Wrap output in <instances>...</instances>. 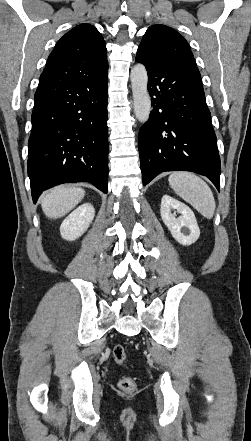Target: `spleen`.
<instances>
[{
  "mask_svg": "<svg viewBox=\"0 0 251 441\" xmlns=\"http://www.w3.org/2000/svg\"><path fill=\"white\" fill-rule=\"evenodd\" d=\"M171 188L190 203L201 215L211 219L216 203L210 187L200 177L189 172H174L168 178Z\"/></svg>",
  "mask_w": 251,
  "mask_h": 441,
  "instance_id": "1",
  "label": "spleen"
}]
</instances>
